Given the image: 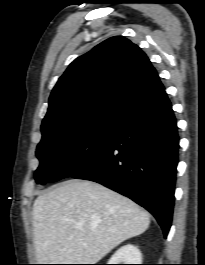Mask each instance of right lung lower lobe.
Wrapping results in <instances>:
<instances>
[{
    "label": "right lung lower lobe",
    "instance_id": "obj_1",
    "mask_svg": "<svg viewBox=\"0 0 205 265\" xmlns=\"http://www.w3.org/2000/svg\"><path fill=\"white\" fill-rule=\"evenodd\" d=\"M179 137L166 92L122 121L111 142L72 175L100 183L146 208L165 237L171 226Z\"/></svg>",
    "mask_w": 205,
    "mask_h": 265
}]
</instances>
